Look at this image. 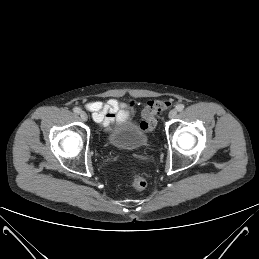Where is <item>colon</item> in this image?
Here are the masks:
<instances>
[{"label":"colon","mask_w":259,"mask_h":259,"mask_svg":"<svg viewBox=\"0 0 259 259\" xmlns=\"http://www.w3.org/2000/svg\"><path fill=\"white\" fill-rule=\"evenodd\" d=\"M171 106V102L169 100H150L145 105L142 112V121L140 123V127L145 132H151L154 130L157 124L156 115L162 111H165ZM128 182L130 186L135 190H143L146 187V181L143 177L129 172Z\"/></svg>","instance_id":"colon-1"}]
</instances>
